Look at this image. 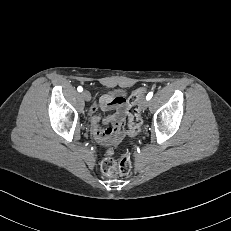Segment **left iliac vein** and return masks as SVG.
<instances>
[{"instance_id":"1","label":"left iliac vein","mask_w":231,"mask_h":231,"mask_svg":"<svg viewBox=\"0 0 231 231\" xmlns=\"http://www.w3.org/2000/svg\"><path fill=\"white\" fill-rule=\"evenodd\" d=\"M148 105H149L148 100H147L146 98H143V99L141 100V108H142V109H146V108L148 107Z\"/></svg>"}]
</instances>
